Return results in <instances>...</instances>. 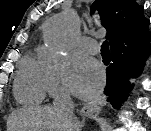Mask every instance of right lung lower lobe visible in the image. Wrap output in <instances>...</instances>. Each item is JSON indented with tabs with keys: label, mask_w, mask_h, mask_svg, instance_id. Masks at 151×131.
<instances>
[{
	"label": "right lung lower lobe",
	"mask_w": 151,
	"mask_h": 131,
	"mask_svg": "<svg viewBox=\"0 0 151 131\" xmlns=\"http://www.w3.org/2000/svg\"><path fill=\"white\" fill-rule=\"evenodd\" d=\"M151 48L134 49L131 46L119 47L112 50V64L107 68V84L104 94L108 96L115 109L128 98L130 77L141 74L146 58Z\"/></svg>",
	"instance_id": "1"
}]
</instances>
